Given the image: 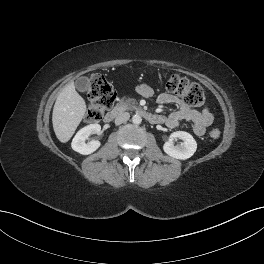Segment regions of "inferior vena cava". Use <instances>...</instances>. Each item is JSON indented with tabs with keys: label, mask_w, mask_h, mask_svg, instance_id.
Listing matches in <instances>:
<instances>
[{
	"label": "inferior vena cava",
	"mask_w": 264,
	"mask_h": 264,
	"mask_svg": "<svg viewBox=\"0 0 264 264\" xmlns=\"http://www.w3.org/2000/svg\"><path fill=\"white\" fill-rule=\"evenodd\" d=\"M130 118V114L128 112L122 113L119 116L116 117L115 119V124L120 125L126 121H128Z\"/></svg>",
	"instance_id": "inferior-vena-cava-1"
}]
</instances>
